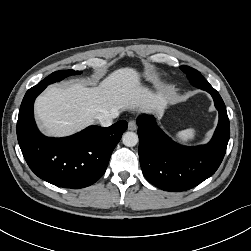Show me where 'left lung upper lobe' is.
I'll return each mask as SVG.
<instances>
[{"label": "left lung upper lobe", "instance_id": "left-lung-upper-lobe-1", "mask_svg": "<svg viewBox=\"0 0 251 251\" xmlns=\"http://www.w3.org/2000/svg\"><path fill=\"white\" fill-rule=\"evenodd\" d=\"M181 70L187 74L191 84L198 87L199 84L205 85L208 81L201 75V73L189 66H180Z\"/></svg>", "mask_w": 251, "mask_h": 251}]
</instances>
